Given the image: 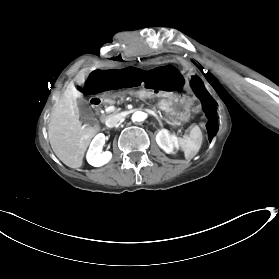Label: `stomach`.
Returning a JSON list of instances; mask_svg holds the SVG:
<instances>
[{
  "instance_id": "1",
  "label": "stomach",
  "mask_w": 279,
  "mask_h": 279,
  "mask_svg": "<svg viewBox=\"0 0 279 279\" xmlns=\"http://www.w3.org/2000/svg\"><path fill=\"white\" fill-rule=\"evenodd\" d=\"M158 107L165 116L182 120L189 116L192 104L187 97L174 95L160 99Z\"/></svg>"
}]
</instances>
